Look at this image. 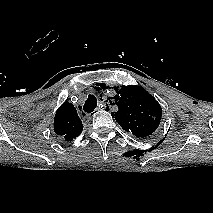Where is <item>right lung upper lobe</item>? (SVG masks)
Instances as JSON below:
<instances>
[{
  "mask_svg": "<svg viewBox=\"0 0 213 213\" xmlns=\"http://www.w3.org/2000/svg\"><path fill=\"white\" fill-rule=\"evenodd\" d=\"M83 124L73 104L65 101L56 111L54 132L62 141H72L82 132Z\"/></svg>",
  "mask_w": 213,
  "mask_h": 213,
  "instance_id": "1",
  "label": "right lung upper lobe"
}]
</instances>
